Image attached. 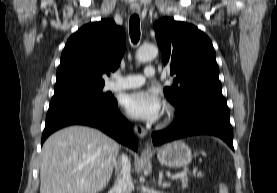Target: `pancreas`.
Listing matches in <instances>:
<instances>
[{
	"mask_svg": "<svg viewBox=\"0 0 277 193\" xmlns=\"http://www.w3.org/2000/svg\"><path fill=\"white\" fill-rule=\"evenodd\" d=\"M188 182V178H181L182 187H186Z\"/></svg>",
	"mask_w": 277,
	"mask_h": 193,
	"instance_id": "pancreas-1",
	"label": "pancreas"
}]
</instances>
